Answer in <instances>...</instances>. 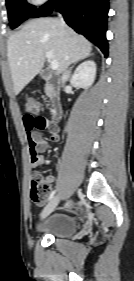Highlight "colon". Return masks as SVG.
<instances>
[{"instance_id":"5ec220e1","label":"colon","mask_w":134,"mask_h":281,"mask_svg":"<svg viewBox=\"0 0 134 281\" xmlns=\"http://www.w3.org/2000/svg\"><path fill=\"white\" fill-rule=\"evenodd\" d=\"M26 108L29 112L35 113L39 110L37 100L30 98L26 102ZM50 191V185L40 175H35L30 184V197L36 204H43ZM74 206V204H71Z\"/></svg>"}]
</instances>
